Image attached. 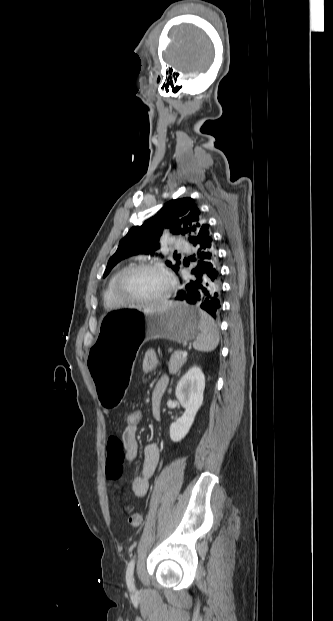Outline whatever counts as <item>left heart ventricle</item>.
<instances>
[{
	"instance_id": "left-heart-ventricle-1",
	"label": "left heart ventricle",
	"mask_w": 333,
	"mask_h": 621,
	"mask_svg": "<svg viewBox=\"0 0 333 621\" xmlns=\"http://www.w3.org/2000/svg\"><path fill=\"white\" fill-rule=\"evenodd\" d=\"M168 288L164 275L153 270H140L130 274L123 282L125 296L140 300H153L162 296Z\"/></svg>"
}]
</instances>
